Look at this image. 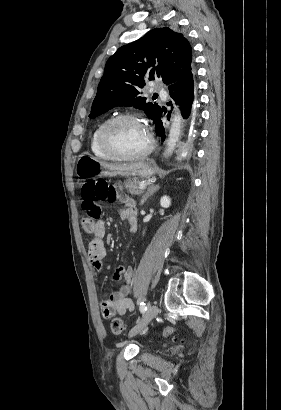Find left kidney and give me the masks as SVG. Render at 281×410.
I'll return each mask as SVG.
<instances>
[{
  "label": "left kidney",
  "instance_id": "1",
  "mask_svg": "<svg viewBox=\"0 0 281 410\" xmlns=\"http://www.w3.org/2000/svg\"><path fill=\"white\" fill-rule=\"evenodd\" d=\"M160 205L163 208H168L171 205V199L168 196H163L160 200Z\"/></svg>",
  "mask_w": 281,
  "mask_h": 410
}]
</instances>
